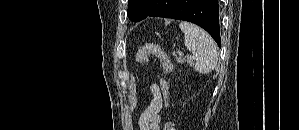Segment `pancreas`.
I'll list each match as a JSON object with an SVG mask.
<instances>
[{
  "label": "pancreas",
  "mask_w": 299,
  "mask_h": 130,
  "mask_svg": "<svg viewBox=\"0 0 299 130\" xmlns=\"http://www.w3.org/2000/svg\"><path fill=\"white\" fill-rule=\"evenodd\" d=\"M178 63H188V64H192V59L191 57L187 56V57H179L176 59Z\"/></svg>",
  "instance_id": "1"
}]
</instances>
